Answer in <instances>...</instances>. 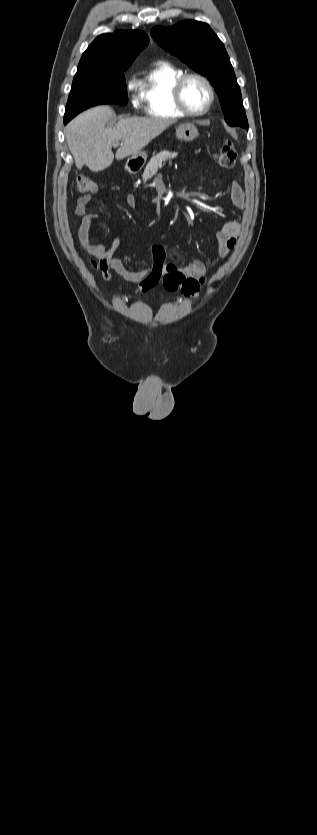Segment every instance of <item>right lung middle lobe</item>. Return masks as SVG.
Instances as JSON below:
<instances>
[{"label": "right lung middle lobe", "instance_id": "obj_1", "mask_svg": "<svg viewBox=\"0 0 317 835\" xmlns=\"http://www.w3.org/2000/svg\"><path fill=\"white\" fill-rule=\"evenodd\" d=\"M124 71H77L65 110L64 124L95 105L126 104L128 97Z\"/></svg>", "mask_w": 317, "mask_h": 835}]
</instances>
